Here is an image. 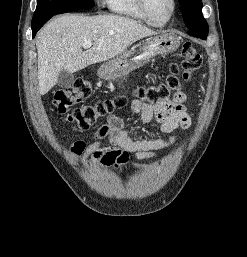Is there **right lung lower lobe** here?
<instances>
[{
	"mask_svg": "<svg viewBox=\"0 0 247 257\" xmlns=\"http://www.w3.org/2000/svg\"><path fill=\"white\" fill-rule=\"evenodd\" d=\"M53 16L44 18L42 20H39L37 22L32 23V32H33V37H35L37 31Z\"/></svg>",
	"mask_w": 247,
	"mask_h": 257,
	"instance_id": "right-lung-lower-lobe-1",
	"label": "right lung lower lobe"
}]
</instances>
